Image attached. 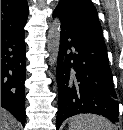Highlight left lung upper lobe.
<instances>
[{"label": "left lung upper lobe", "instance_id": "5c2ea615", "mask_svg": "<svg viewBox=\"0 0 123 130\" xmlns=\"http://www.w3.org/2000/svg\"><path fill=\"white\" fill-rule=\"evenodd\" d=\"M55 10L79 32L103 41L97 10L91 0H61Z\"/></svg>", "mask_w": 123, "mask_h": 130}]
</instances>
